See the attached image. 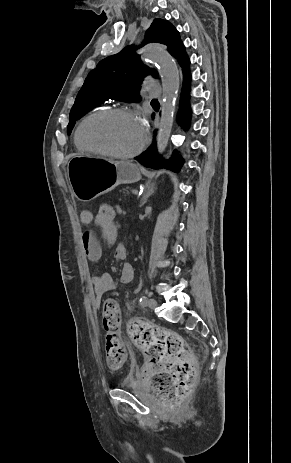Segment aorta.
Instances as JSON below:
<instances>
[{"label": "aorta", "instance_id": "obj_1", "mask_svg": "<svg viewBox=\"0 0 291 463\" xmlns=\"http://www.w3.org/2000/svg\"><path fill=\"white\" fill-rule=\"evenodd\" d=\"M143 57L158 64L162 81L163 100L157 134V149L162 154L167 147L173 125L175 101L179 89V72L171 56L165 52L156 49H147L144 51Z\"/></svg>", "mask_w": 291, "mask_h": 463}]
</instances>
